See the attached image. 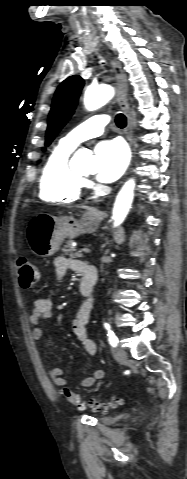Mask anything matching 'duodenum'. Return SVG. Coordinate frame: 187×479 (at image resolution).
Masks as SVG:
<instances>
[{
	"label": "duodenum",
	"instance_id": "1",
	"mask_svg": "<svg viewBox=\"0 0 187 479\" xmlns=\"http://www.w3.org/2000/svg\"><path fill=\"white\" fill-rule=\"evenodd\" d=\"M96 283H97V274H96L95 268L87 269V271L85 272L84 279L82 280L79 286L81 294L86 298H91L94 294Z\"/></svg>",
	"mask_w": 187,
	"mask_h": 479
}]
</instances>
